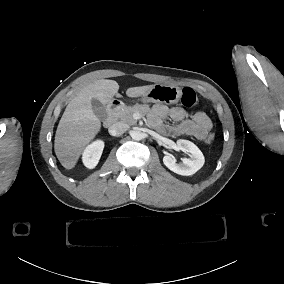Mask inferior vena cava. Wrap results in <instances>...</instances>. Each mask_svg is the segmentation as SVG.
Returning <instances> with one entry per match:
<instances>
[{
  "label": "inferior vena cava",
  "mask_w": 284,
  "mask_h": 284,
  "mask_svg": "<svg viewBox=\"0 0 284 284\" xmlns=\"http://www.w3.org/2000/svg\"><path fill=\"white\" fill-rule=\"evenodd\" d=\"M129 129V125L124 122H116L109 127V133L112 136H119Z\"/></svg>",
  "instance_id": "1"
}]
</instances>
